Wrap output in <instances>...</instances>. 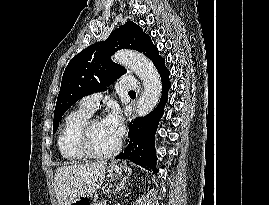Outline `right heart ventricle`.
<instances>
[{"label":"right heart ventricle","instance_id":"e07e8e85","mask_svg":"<svg viewBox=\"0 0 269 205\" xmlns=\"http://www.w3.org/2000/svg\"><path fill=\"white\" fill-rule=\"evenodd\" d=\"M91 115L92 113L81 107L66 115L57 140L59 152L64 160L80 162L87 159L79 146L78 136L81 127Z\"/></svg>","mask_w":269,"mask_h":205}]
</instances>
